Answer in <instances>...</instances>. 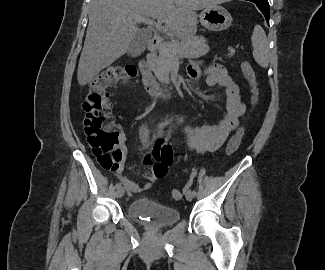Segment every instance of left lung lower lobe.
Listing matches in <instances>:
<instances>
[{
	"label": "left lung lower lobe",
	"mask_w": 325,
	"mask_h": 270,
	"mask_svg": "<svg viewBox=\"0 0 325 270\" xmlns=\"http://www.w3.org/2000/svg\"><path fill=\"white\" fill-rule=\"evenodd\" d=\"M248 1L256 3L260 11L264 14L267 23L269 24L270 6L268 0H248Z\"/></svg>",
	"instance_id": "obj_1"
}]
</instances>
